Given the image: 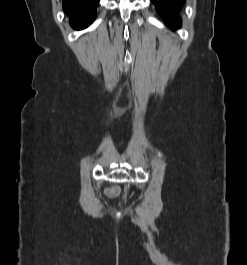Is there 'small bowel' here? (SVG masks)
I'll list each match as a JSON object with an SVG mask.
<instances>
[{
  "label": "small bowel",
  "instance_id": "obj_1",
  "mask_svg": "<svg viewBox=\"0 0 247 265\" xmlns=\"http://www.w3.org/2000/svg\"><path fill=\"white\" fill-rule=\"evenodd\" d=\"M106 193L108 196H116L119 193V188L118 187H112V188H108L106 190Z\"/></svg>",
  "mask_w": 247,
  "mask_h": 265
}]
</instances>
